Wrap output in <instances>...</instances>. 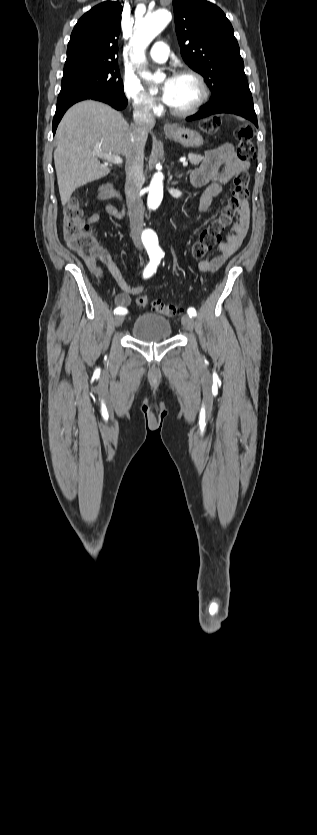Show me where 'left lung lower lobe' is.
Wrapping results in <instances>:
<instances>
[{
	"instance_id": "left-lung-lower-lobe-1",
	"label": "left lung lower lobe",
	"mask_w": 317,
	"mask_h": 835,
	"mask_svg": "<svg viewBox=\"0 0 317 835\" xmlns=\"http://www.w3.org/2000/svg\"><path fill=\"white\" fill-rule=\"evenodd\" d=\"M217 113H232L242 116L250 120L258 128L252 96L241 94L233 95L219 104L207 103L202 106V109L198 113L188 117L187 121L201 119Z\"/></svg>"
}]
</instances>
